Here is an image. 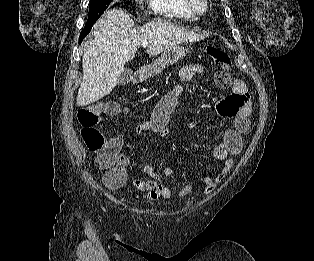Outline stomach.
Segmentation results:
<instances>
[{
	"mask_svg": "<svg viewBox=\"0 0 314 261\" xmlns=\"http://www.w3.org/2000/svg\"><path fill=\"white\" fill-rule=\"evenodd\" d=\"M185 54L186 50L180 44L167 49L152 65H150L146 73L142 76V79L161 73L167 66L177 63L179 59L185 56Z\"/></svg>",
	"mask_w": 314,
	"mask_h": 261,
	"instance_id": "obj_1",
	"label": "stomach"
}]
</instances>
